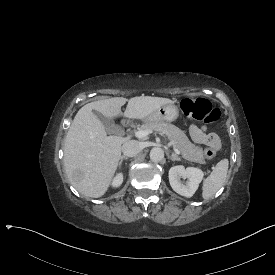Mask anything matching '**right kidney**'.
Segmentation results:
<instances>
[{"instance_id": "right-kidney-1", "label": "right kidney", "mask_w": 275, "mask_h": 275, "mask_svg": "<svg viewBox=\"0 0 275 275\" xmlns=\"http://www.w3.org/2000/svg\"><path fill=\"white\" fill-rule=\"evenodd\" d=\"M123 182V174L122 173H118L113 181H112V187H119Z\"/></svg>"}]
</instances>
